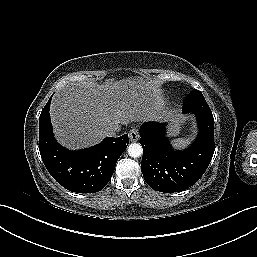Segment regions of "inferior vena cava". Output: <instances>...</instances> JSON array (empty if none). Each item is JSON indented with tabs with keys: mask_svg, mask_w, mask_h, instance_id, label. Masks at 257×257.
<instances>
[{
	"mask_svg": "<svg viewBox=\"0 0 257 257\" xmlns=\"http://www.w3.org/2000/svg\"><path fill=\"white\" fill-rule=\"evenodd\" d=\"M106 136L107 137H116V130L111 129V130L106 131Z\"/></svg>",
	"mask_w": 257,
	"mask_h": 257,
	"instance_id": "602c4592",
	"label": "inferior vena cava"
}]
</instances>
